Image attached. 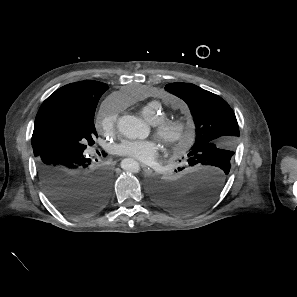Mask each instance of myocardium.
I'll list each match as a JSON object with an SVG mask.
<instances>
[{"mask_svg":"<svg viewBox=\"0 0 297 297\" xmlns=\"http://www.w3.org/2000/svg\"><path fill=\"white\" fill-rule=\"evenodd\" d=\"M155 136L173 150H183L190 141L191 131L183 119L163 117L152 124Z\"/></svg>","mask_w":297,"mask_h":297,"instance_id":"obj_1","label":"myocardium"}]
</instances>
